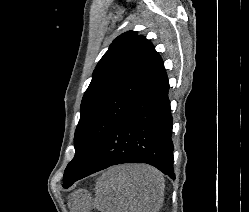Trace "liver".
I'll list each match as a JSON object with an SVG mask.
<instances>
[{"label": "liver", "mask_w": 249, "mask_h": 212, "mask_svg": "<svg viewBox=\"0 0 249 212\" xmlns=\"http://www.w3.org/2000/svg\"><path fill=\"white\" fill-rule=\"evenodd\" d=\"M164 178L147 164L112 166L96 182L95 206L99 212H159Z\"/></svg>", "instance_id": "obj_1"}]
</instances>
